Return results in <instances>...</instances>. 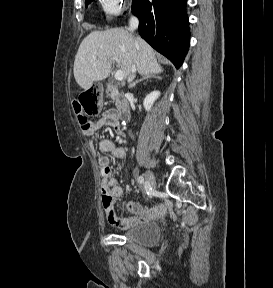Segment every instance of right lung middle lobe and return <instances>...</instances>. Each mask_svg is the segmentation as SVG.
<instances>
[{"label": "right lung middle lobe", "instance_id": "1", "mask_svg": "<svg viewBox=\"0 0 273 288\" xmlns=\"http://www.w3.org/2000/svg\"><path fill=\"white\" fill-rule=\"evenodd\" d=\"M92 0H86V6L89 4Z\"/></svg>", "mask_w": 273, "mask_h": 288}]
</instances>
